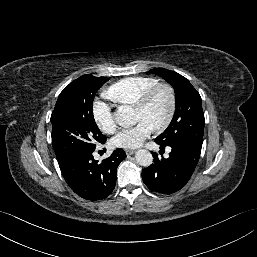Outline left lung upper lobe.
I'll list each match as a JSON object with an SVG mask.
<instances>
[{
    "instance_id": "5c2ea615",
    "label": "left lung upper lobe",
    "mask_w": 257,
    "mask_h": 257,
    "mask_svg": "<svg viewBox=\"0 0 257 257\" xmlns=\"http://www.w3.org/2000/svg\"><path fill=\"white\" fill-rule=\"evenodd\" d=\"M150 73L161 76L173 86L176 94V110L168 128L155 140L167 145L185 142L201 145L204 132V113L201 97L188 79L164 68H155Z\"/></svg>"
}]
</instances>
